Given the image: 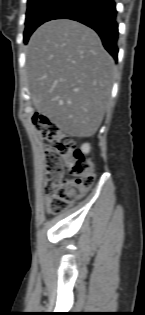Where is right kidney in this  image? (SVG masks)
<instances>
[{"label": "right kidney", "instance_id": "right-kidney-1", "mask_svg": "<svg viewBox=\"0 0 145 315\" xmlns=\"http://www.w3.org/2000/svg\"><path fill=\"white\" fill-rule=\"evenodd\" d=\"M81 150H82V152L85 153V154L89 153V151H90V145H89L88 143L83 144L82 147H81Z\"/></svg>", "mask_w": 145, "mask_h": 315}]
</instances>
